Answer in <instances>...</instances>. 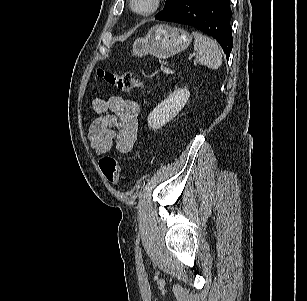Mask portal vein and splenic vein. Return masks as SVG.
Masks as SVG:
<instances>
[{
  "label": "portal vein and splenic vein",
  "instance_id": "18ae733b",
  "mask_svg": "<svg viewBox=\"0 0 307 301\" xmlns=\"http://www.w3.org/2000/svg\"><path fill=\"white\" fill-rule=\"evenodd\" d=\"M164 72H165L166 74H169V73H170V70L165 69Z\"/></svg>",
  "mask_w": 307,
  "mask_h": 301
}]
</instances>
